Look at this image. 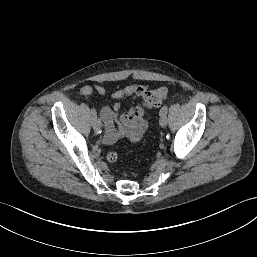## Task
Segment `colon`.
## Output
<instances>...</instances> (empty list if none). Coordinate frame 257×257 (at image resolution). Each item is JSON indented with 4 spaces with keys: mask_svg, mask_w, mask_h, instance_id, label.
Returning <instances> with one entry per match:
<instances>
[{
    "mask_svg": "<svg viewBox=\"0 0 257 257\" xmlns=\"http://www.w3.org/2000/svg\"><path fill=\"white\" fill-rule=\"evenodd\" d=\"M167 97V90L164 87H160L146 92L143 97V105L149 109L159 107ZM107 160L110 164H116L118 157L114 151L107 153Z\"/></svg>",
    "mask_w": 257,
    "mask_h": 257,
    "instance_id": "colon-1",
    "label": "colon"
}]
</instances>
